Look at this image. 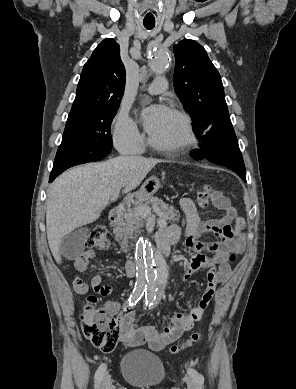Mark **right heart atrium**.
I'll list each match as a JSON object with an SVG mask.
<instances>
[{
	"label": "right heart atrium",
	"mask_w": 296,
	"mask_h": 389,
	"mask_svg": "<svg viewBox=\"0 0 296 389\" xmlns=\"http://www.w3.org/2000/svg\"><path fill=\"white\" fill-rule=\"evenodd\" d=\"M142 141L137 122L126 109L121 108L113 121L114 145L121 152H129L140 148Z\"/></svg>",
	"instance_id": "obj_1"
}]
</instances>
